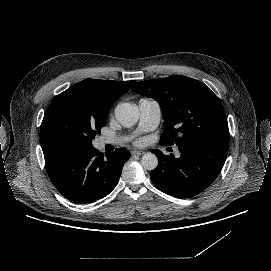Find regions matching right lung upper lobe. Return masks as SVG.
Instances as JSON below:
<instances>
[{
	"label": "right lung upper lobe",
	"mask_w": 271,
	"mask_h": 271,
	"mask_svg": "<svg viewBox=\"0 0 271 271\" xmlns=\"http://www.w3.org/2000/svg\"><path fill=\"white\" fill-rule=\"evenodd\" d=\"M135 81H111L85 79L68 88L62 94H70L77 98L81 106L92 115L107 118L114 101L126 93Z\"/></svg>",
	"instance_id": "1"
}]
</instances>
